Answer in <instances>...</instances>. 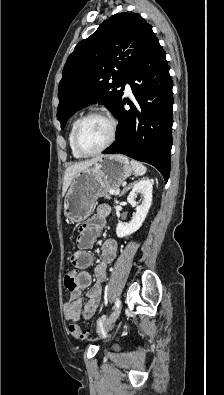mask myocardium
I'll list each match as a JSON object with an SVG mask.
<instances>
[{
  "label": "myocardium",
  "mask_w": 224,
  "mask_h": 395,
  "mask_svg": "<svg viewBox=\"0 0 224 395\" xmlns=\"http://www.w3.org/2000/svg\"><path fill=\"white\" fill-rule=\"evenodd\" d=\"M91 117H100L106 120L110 125V135L108 140L105 142V144L102 145L99 149L93 152H85L81 149L79 145V131L83 122ZM117 127L118 124L116 119L107 111L101 109H95L87 112L77 120L75 125L74 134H73V146L75 151L81 157H91L100 154L101 152L105 151L109 146H111V144L115 141L117 135Z\"/></svg>",
  "instance_id": "obj_1"
}]
</instances>
